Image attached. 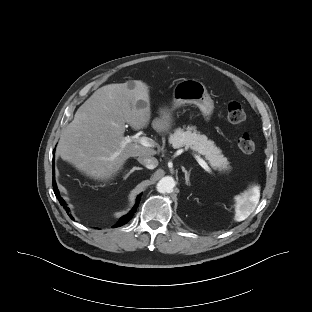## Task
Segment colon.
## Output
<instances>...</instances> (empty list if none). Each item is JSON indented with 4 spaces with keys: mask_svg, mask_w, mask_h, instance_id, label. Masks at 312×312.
Returning a JSON list of instances; mask_svg holds the SVG:
<instances>
[{
    "mask_svg": "<svg viewBox=\"0 0 312 312\" xmlns=\"http://www.w3.org/2000/svg\"><path fill=\"white\" fill-rule=\"evenodd\" d=\"M227 118L232 124H240L245 118L246 114L243 106L236 101L230 102L227 106ZM239 149L245 154H251L255 150V143L250 134L244 133L238 139Z\"/></svg>",
    "mask_w": 312,
    "mask_h": 312,
    "instance_id": "colon-1",
    "label": "colon"
}]
</instances>
